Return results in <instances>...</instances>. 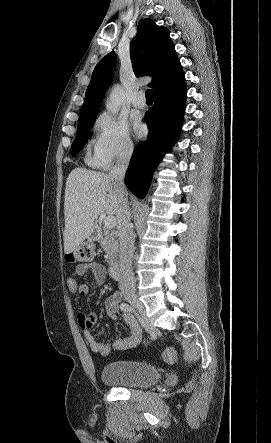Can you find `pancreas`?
<instances>
[{
    "mask_svg": "<svg viewBox=\"0 0 271 443\" xmlns=\"http://www.w3.org/2000/svg\"><path fill=\"white\" fill-rule=\"evenodd\" d=\"M115 237L116 233H110L108 229H103L99 237V241L109 257H116V253H118V241Z\"/></svg>",
    "mask_w": 271,
    "mask_h": 443,
    "instance_id": "obj_1",
    "label": "pancreas"
}]
</instances>
